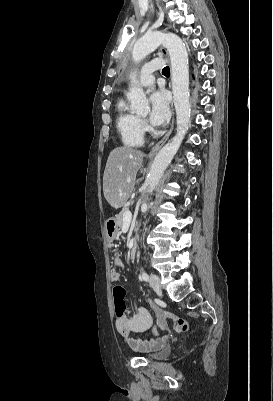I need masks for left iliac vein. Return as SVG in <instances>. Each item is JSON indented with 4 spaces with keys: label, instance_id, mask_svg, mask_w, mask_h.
<instances>
[{
    "label": "left iliac vein",
    "instance_id": "obj_1",
    "mask_svg": "<svg viewBox=\"0 0 273 401\" xmlns=\"http://www.w3.org/2000/svg\"><path fill=\"white\" fill-rule=\"evenodd\" d=\"M149 283L154 291L159 294L161 291L160 278L156 274H151L149 278Z\"/></svg>",
    "mask_w": 273,
    "mask_h": 401
}]
</instances>
